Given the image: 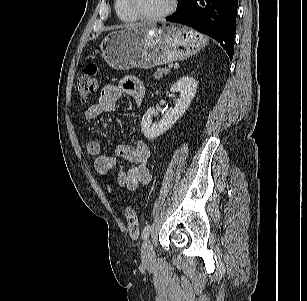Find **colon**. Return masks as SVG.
I'll return each instance as SVG.
<instances>
[{
	"instance_id": "5ec220e1",
	"label": "colon",
	"mask_w": 307,
	"mask_h": 301,
	"mask_svg": "<svg viewBox=\"0 0 307 301\" xmlns=\"http://www.w3.org/2000/svg\"><path fill=\"white\" fill-rule=\"evenodd\" d=\"M98 66L96 64H88L85 66L83 74L77 79V93L82 101H88L92 98L98 89ZM111 191V189L109 188ZM124 214L127 220L128 229L131 235H137L139 232V224L134 209L126 205Z\"/></svg>"
}]
</instances>
